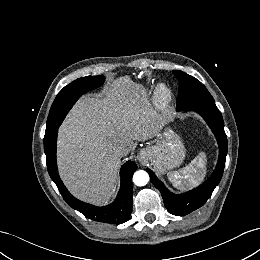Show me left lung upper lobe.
Listing matches in <instances>:
<instances>
[{"instance_id": "5c2ea615", "label": "left lung upper lobe", "mask_w": 260, "mask_h": 260, "mask_svg": "<svg viewBox=\"0 0 260 260\" xmlns=\"http://www.w3.org/2000/svg\"><path fill=\"white\" fill-rule=\"evenodd\" d=\"M173 73L179 81L177 109H184L193 104H215L206 87L196 78L178 70Z\"/></svg>"}]
</instances>
